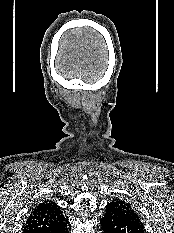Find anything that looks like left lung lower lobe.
<instances>
[{
	"label": "left lung lower lobe",
	"mask_w": 174,
	"mask_h": 233,
	"mask_svg": "<svg viewBox=\"0 0 174 233\" xmlns=\"http://www.w3.org/2000/svg\"><path fill=\"white\" fill-rule=\"evenodd\" d=\"M103 233H144L142 223L107 212L100 220Z\"/></svg>",
	"instance_id": "left-lung-lower-lobe-1"
}]
</instances>
